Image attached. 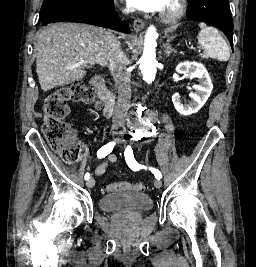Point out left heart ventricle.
I'll return each instance as SVG.
<instances>
[{
  "instance_id": "b2bd125f",
  "label": "left heart ventricle",
  "mask_w": 256,
  "mask_h": 267,
  "mask_svg": "<svg viewBox=\"0 0 256 267\" xmlns=\"http://www.w3.org/2000/svg\"><path fill=\"white\" fill-rule=\"evenodd\" d=\"M171 16V8L167 10V12L163 15V18L168 20Z\"/></svg>"
}]
</instances>
